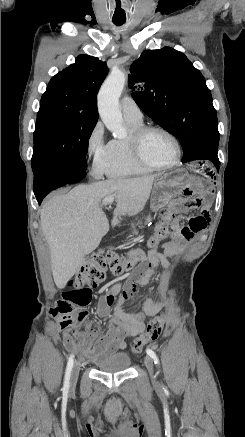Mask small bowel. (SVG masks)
Returning a JSON list of instances; mask_svg holds the SVG:
<instances>
[{"label": "small bowel", "mask_w": 245, "mask_h": 437, "mask_svg": "<svg viewBox=\"0 0 245 437\" xmlns=\"http://www.w3.org/2000/svg\"><path fill=\"white\" fill-rule=\"evenodd\" d=\"M194 166H189L188 172L191 180H217L218 172L214 166L203 164L198 166L194 161ZM194 188L192 185L189 187ZM200 192H211V183H200ZM205 203L201 196L188 197L184 205L187 208L199 209ZM207 211L200 215L191 217L186 226H181L180 220L176 219L172 223L171 240L162 245L161 250H151L147 258L140 264L136 271L127 280L123 298L125 301L133 300L137 295L136 286L146 285L153 273L152 268L161 265L166 268L169 265V258L177 254L187 241H190L194 234L204 230L208 224ZM120 282L111 284V292L99 298L97 315L101 318H110L109 328L105 335L98 337L94 326L88 325L82 337L73 338L64 335V344L67 347L78 345L83 354L90 360H98L107 357L126 347V339L136 335L144 329V318L151 317L158 313L162 303L158 300L147 298L143 301L139 311H130L124 306L116 308L112 314L111 308L114 303V296L120 291Z\"/></svg>", "instance_id": "obj_1"}]
</instances>
